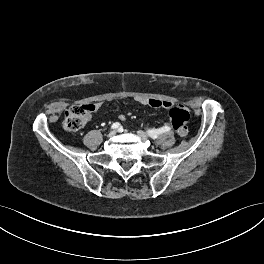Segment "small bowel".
<instances>
[{"label":"small bowel","mask_w":264,"mask_h":264,"mask_svg":"<svg viewBox=\"0 0 264 264\" xmlns=\"http://www.w3.org/2000/svg\"><path fill=\"white\" fill-rule=\"evenodd\" d=\"M136 101L142 105H148L151 107L155 108H164V109H169L172 107V103L169 101H163V100H158V99H150V98H144V97H139L136 99ZM95 110H97L100 107L99 103L91 104ZM120 120H124L125 117L124 115H119Z\"/></svg>","instance_id":"small-bowel-1"}]
</instances>
